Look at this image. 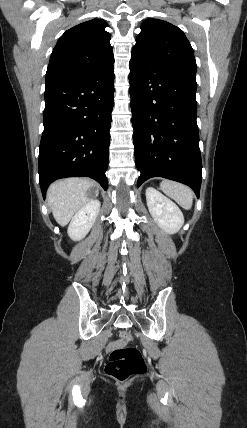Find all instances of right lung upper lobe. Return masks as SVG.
Returning a JSON list of instances; mask_svg holds the SVG:
<instances>
[{
    "label": "right lung upper lobe",
    "mask_w": 247,
    "mask_h": 428,
    "mask_svg": "<svg viewBox=\"0 0 247 428\" xmlns=\"http://www.w3.org/2000/svg\"><path fill=\"white\" fill-rule=\"evenodd\" d=\"M100 19L83 22L67 30L53 49L46 85L75 79L113 59L110 34Z\"/></svg>",
    "instance_id": "1"
}]
</instances>
